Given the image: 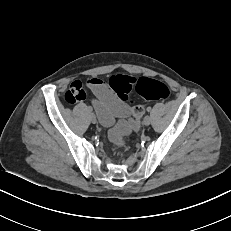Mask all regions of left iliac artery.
Instances as JSON below:
<instances>
[{
    "label": "left iliac artery",
    "mask_w": 231,
    "mask_h": 231,
    "mask_svg": "<svg viewBox=\"0 0 231 231\" xmlns=\"http://www.w3.org/2000/svg\"><path fill=\"white\" fill-rule=\"evenodd\" d=\"M147 111L150 112V111H151V107H148V108H147Z\"/></svg>",
    "instance_id": "44dca946"
}]
</instances>
